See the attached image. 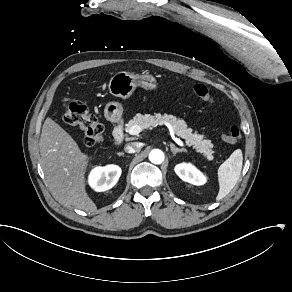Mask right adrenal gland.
I'll return each instance as SVG.
<instances>
[{
	"label": "right adrenal gland",
	"mask_w": 292,
	"mask_h": 292,
	"mask_svg": "<svg viewBox=\"0 0 292 292\" xmlns=\"http://www.w3.org/2000/svg\"><path fill=\"white\" fill-rule=\"evenodd\" d=\"M117 156L118 157H126V158L130 157L129 155H125V153H117Z\"/></svg>",
	"instance_id": "obj_1"
}]
</instances>
